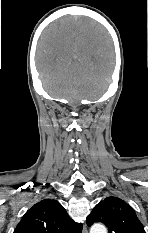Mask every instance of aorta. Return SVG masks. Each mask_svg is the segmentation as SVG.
<instances>
[{
	"label": "aorta",
	"instance_id": "obj_1",
	"mask_svg": "<svg viewBox=\"0 0 148 233\" xmlns=\"http://www.w3.org/2000/svg\"><path fill=\"white\" fill-rule=\"evenodd\" d=\"M90 233H107V229L103 224L96 223L91 227Z\"/></svg>",
	"mask_w": 148,
	"mask_h": 233
}]
</instances>
